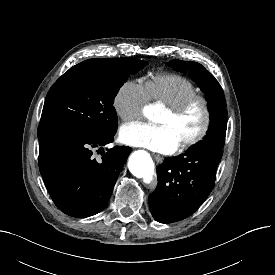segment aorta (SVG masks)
I'll use <instances>...</instances> for the list:
<instances>
[{
  "label": "aorta",
  "instance_id": "obj_1",
  "mask_svg": "<svg viewBox=\"0 0 275 275\" xmlns=\"http://www.w3.org/2000/svg\"><path fill=\"white\" fill-rule=\"evenodd\" d=\"M146 117L157 121L160 117V110L155 106H148L144 110ZM129 169L137 177L150 181L155 170L151 157L144 151H136L129 158Z\"/></svg>",
  "mask_w": 275,
  "mask_h": 275
}]
</instances>
